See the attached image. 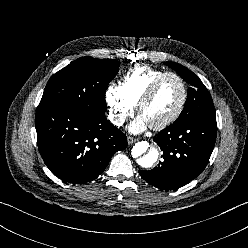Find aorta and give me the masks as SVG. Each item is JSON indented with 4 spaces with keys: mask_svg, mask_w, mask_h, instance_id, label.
<instances>
[{
    "mask_svg": "<svg viewBox=\"0 0 248 248\" xmlns=\"http://www.w3.org/2000/svg\"><path fill=\"white\" fill-rule=\"evenodd\" d=\"M132 157L141 167L150 168L158 160L159 152L155 148H150L147 141H140L133 146Z\"/></svg>",
    "mask_w": 248,
    "mask_h": 248,
    "instance_id": "1",
    "label": "aorta"
}]
</instances>
